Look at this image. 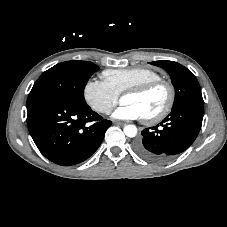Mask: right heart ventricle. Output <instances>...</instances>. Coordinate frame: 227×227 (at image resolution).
<instances>
[{"instance_id": "obj_1", "label": "right heart ventricle", "mask_w": 227, "mask_h": 227, "mask_svg": "<svg viewBox=\"0 0 227 227\" xmlns=\"http://www.w3.org/2000/svg\"><path fill=\"white\" fill-rule=\"evenodd\" d=\"M104 82L118 95L126 90L160 79L161 75L147 67H131L126 69L105 70L102 73Z\"/></svg>"}]
</instances>
